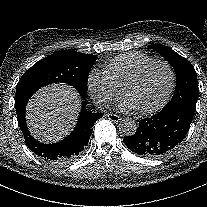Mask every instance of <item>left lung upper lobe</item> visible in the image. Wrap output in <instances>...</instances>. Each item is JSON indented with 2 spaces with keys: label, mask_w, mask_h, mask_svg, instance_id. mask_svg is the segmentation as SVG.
<instances>
[{
  "label": "left lung upper lobe",
  "mask_w": 207,
  "mask_h": 207,
  "mask_svg": "<svg viewBox=\"0 0 207 207\" xmlns=\"http://www.w3.org/2000/svg\"><path fill=\"white\" fill-rule=\"evenodd\" d=\"M149 47L160 53L176 72L174 96L162 110L181 107L194 113L198 97V81L192 64L167 46L152 44Z\"/></svg>",
  "instance_id": "1"
}]
</instances>
